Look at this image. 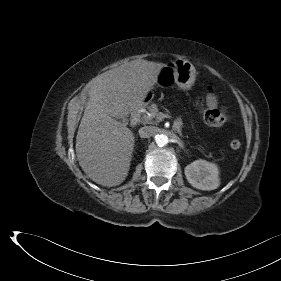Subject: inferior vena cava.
Segmentation results:
<instances>
[{
  "mask_svg": "<svg viewBox=\"0 0 281 281\" xmlns=\"http://www.w3.org/2000/svg\"><path fill=\"white\" fill-rule=\"evenodd\" d=\"M156 129L153 126H144L139 129V135L141 138H149L155 135Z\"/></svg>",
  "mask_w": 281,
  "mask_h": 281,
  "instance_id": "1",
  "label": "inferior vena cava"
}]
</instances>
